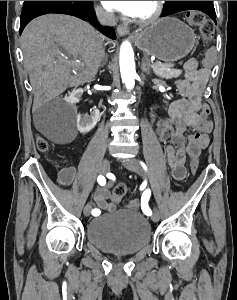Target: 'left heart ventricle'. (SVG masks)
Returning a JSON list of instances; mask_svg holds the SVG:
<instances>
[{
	"mask_svg": "<svg viewBox=\"0 0 237 300\" xmlns=\"http://www.w3.org/2000/svg\"><path fill=\"white\" fill-rule=\"evenodd\" d=\"M153 1H142L137 11L134 13V18L145 17L150 14L153 8Z\"/></svg>",
	"mask_w": 237,
	"mask_h": 300,
	"instance_id": "obj_1",
	"label": "left heart ventricle"
}]
</instances>
